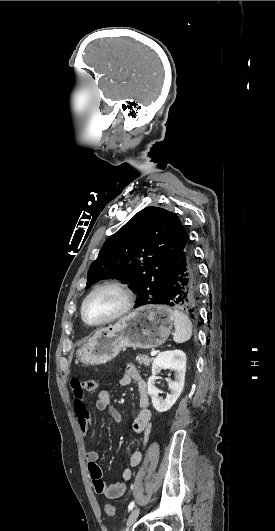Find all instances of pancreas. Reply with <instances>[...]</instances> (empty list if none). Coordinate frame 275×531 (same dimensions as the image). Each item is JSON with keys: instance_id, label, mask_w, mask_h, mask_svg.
<instances>
[{"instance_id": "cf45deb5", "label": "pancreas", "mask_w": 275, "mask_h": 531, "mask_svg": "<svg viewBox=\"0 0 275 531\" xmlns=\"http://www.w3.org/2000/svg\"><path fill=\"white\" fill-rule=\"evenodd\" d=\"M136 361H138L139 365H144V367H149L150 363H152L154 359H150L148 355H137Z\"/></svg>"}]
</instances>
